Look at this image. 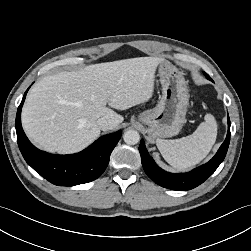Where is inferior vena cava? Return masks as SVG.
<instances>
[{
	"mask_svg": "<svg viewBox=\"0 0 251 251\" xmlns=\"http://www.w3.org/2000/svg\"><path fill=\"white\" fill-rule=\"evenodd\" d=\"M97 125L101 130H110L115 127V124L111 120H108L103 117L97 120Z\"/></svg>",
	"mask_w": 251,
	"mask_h": 251,
	"instance_id": "obj_1",
	"label": "inferior vena cava"
}]
</instances>
